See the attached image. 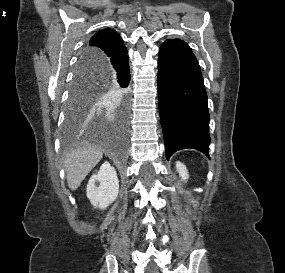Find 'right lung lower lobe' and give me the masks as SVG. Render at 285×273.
<instances>
[{
  "instance_id": "right-lung-lower-lobe-1",
  "label": "right lung lower lobe",
  "mask_w": 285,
  "mask_h": 273,
  "mask_svg": "<svg viewBox=\"0 0 285 273\" xmlns=\"http://www.w3.org/2000/svg\"><path fill=\"white\" fill-rule=\"evenodd\" d=\"M128 52L126 54L105 59L98 57L89 62L88 67L95 72L101 73L107 82L114 85L120 90H126L130 82V70L128 61ZM121 125L123 128L126 126L125 117L121 118Z\"/></svg>"
}]
</instances>
